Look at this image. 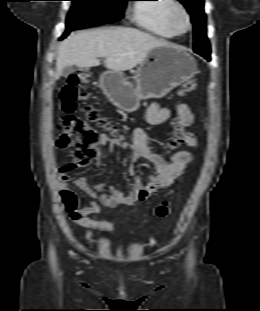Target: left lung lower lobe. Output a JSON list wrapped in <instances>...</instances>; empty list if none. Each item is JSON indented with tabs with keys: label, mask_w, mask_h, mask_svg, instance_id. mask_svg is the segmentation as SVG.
<instances>
[{
	"label": "left lung lower lobe",
	"mask_w": 260,
	"mask_h": 311,
	"mask_svg": "<svg viewBox=\"0 0 260 311\" xmlns=\"http://www.w3.org/2000/svg\"><path fill=\"white\" fill-rule=\"evenodd\" d=\"M196 53L200 54L201 56H203L207 60H210V53L209 52H201V51H199V52H196Z\"/></svg>",
	"instance_id": "1"
}]
</instances>
